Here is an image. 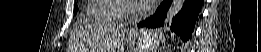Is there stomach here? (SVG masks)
I'll return each instance as SVG.
<instances>
[{
	"instance_id": "obj_1",
	"label": "stomach",
	"mask_w": 261,
	"mask_h": 52,
	"mask_svg": "<svg viewBox=\"0 0 261 52\" xmlns=\"http://www.w3.org/2000/svg\"><path fill=\"white\" fill-rule=\"evenodd\" d=\"M161 39L158 31L142 29L129 34L126 42L132 52H152L158 47Z\"/></svg>"
}]
</instances>
